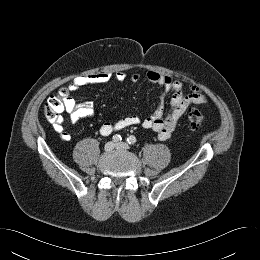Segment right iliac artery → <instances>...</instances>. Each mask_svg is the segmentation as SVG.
<instances>
[{
    "mask_svg": "<svg viewBox=\"0 0 260 260\" xmlns=\"http://www.w3.org/2000/svg\"><path fill=\"white\" fill-rule=\"evenodd\" d=\"M122 140V137L119 134L113 136V141L119 143Z\"/></svg>",
    "mask_w": 260,
    "mask_h": 260,
    "instance_id": "right-iliac-artery-1",
    "label": "right iliac artery"
}]
</instances>
